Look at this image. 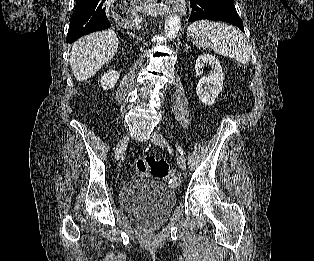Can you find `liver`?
<instances>
[{"label": "liver", "instance_id": "liver-1", "mask_svg": "<svg viewBox=\"0 0 314 261\" xmlns=\"http://www.w3.org/2000/svg\"><path fill=\"white\" fill-rule=\"evenodd\" d=\"M118 49V38L114 31L96 32L78 39L72 46L70 65L77 81L95 75L113 58Z\"/></svg>", "mask_w": 314, "mask_h": 261}]
</instances>
